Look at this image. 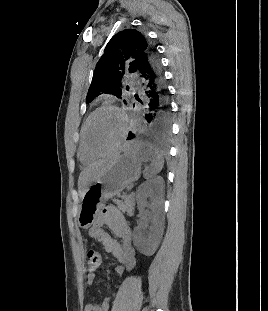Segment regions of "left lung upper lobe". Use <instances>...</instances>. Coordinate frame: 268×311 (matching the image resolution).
Returning a JSON list of instances; mask_svg holds the SVG:
<instances>
[{"label":"left lung upper lobe","mask_w":268,"mask_h":311,"mask_svg":"<svg viewBox=\"0 0 268 311\" xmlns=\"http://www.w3.org/2000/svg\"><path fill=\"white\" fill-rule=\"evenodd\" d=\"M149 47L144 34L135 29H125L115 34L96 65L86 103L103 93L120 98L124 76L138 73L140 63L149 59ZM126 88L128 90V86Z\"/></svg>","instance_id":"5c2ea615"}]
</instances>
